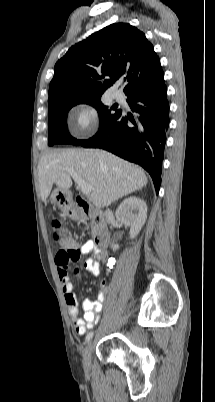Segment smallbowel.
Instances as JSON below:
<instances>
[{
  "label": "small bowel",
  "mask_w": 215,
  "mask_h": 402,
  "mask_svg": "<svg viewBox=\"0 0 215 402\" xmlns=\"http://www.w3.org/2000/svg\"><path fill=\"white\" fill-rule=\"evenodd\" d=\"M79 253V258L93 253V257L87 258L83 264L84 268L95 276L100 275V263L105 258V253L97 248L93 241H87L83 245H78L75 250ZM78 258V260H79ZM74 261L73 263L77 262ZM56 265L58 276L61 283L64 298L67 304L68 313L71 317L73 330L77 335H83L88 329L92 328L100 319V313L103 310L104 301L108 292V287L105 281L100 282V289L95 300H84L82 308L84 311L83 318H80L81 307L74 293V284L71 281L70 273L77 274L78 270L72 268L71 262H59L57 259Z\"/></svg>",
  "instance_id": "1"
}]
</instances>
